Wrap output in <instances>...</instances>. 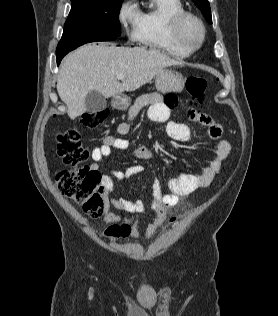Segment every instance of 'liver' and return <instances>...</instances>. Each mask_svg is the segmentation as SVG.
Returning <instances> with one entry per match:
<instances>
[{
	"mask_svg": "<svg viewBox=\"0 0 278 316\" xmlns=\"http://www.w3.org/2000/svg\"><path fill=\"white\" fill-rule=\"evenodd\" d=\"M180 63L156 49L88 44L70 53L57 78V91L71 119L86 112L85 97L98 91L105 98L135 91L162 69ZM124 74L125 78H117Z\"/></svg>",
	"mask_w": 278,
	"mask_h": 316,
	"instance_id": "1",
	"label": "liver"
}]
</instances>
